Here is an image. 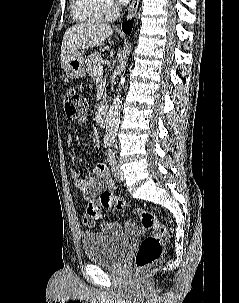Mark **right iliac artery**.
Returning a JSON list of instances; mask_svg holds the SVG:
<instances>
[{"label":"right iliac artery","mask_w":239,"mask_h":303,"mask_svg":"<svg viewBox=\"0 0 239 303\" xmlns=\"http://www.w3.org/2000/svg\"><path fill=\"white\" fill-rule=\"evenodd\" d=\"M104 145H105V147H107V146H110V145H111V143H109V142L105 141V142H104Z\"/></svg>","instance_id":"obj_1"}]
</instances>
